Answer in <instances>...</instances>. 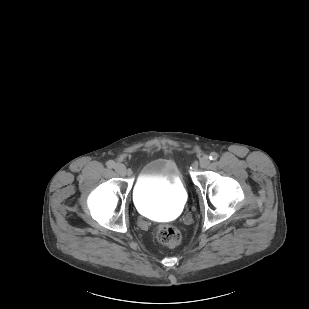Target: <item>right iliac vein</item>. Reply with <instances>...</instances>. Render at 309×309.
<instances>
[{
    "instance_id": "obj_1",
    "label": "right iliac vein",
    "mask_w": 309,
    "mask_h": 309,
    "mask_svg": "<svg viewBox=\"0 0 309 309\" xmlns=\"http://www.w3.org/2000/svg\"><path fill=\"white\" fill-rule=\"evenodd\" d=\"M114 169L116 171V173L120 176H125L126 175V167L125 165L121 164V163H117L115 166H114Z\"/></svg>"
}]
</instances>
